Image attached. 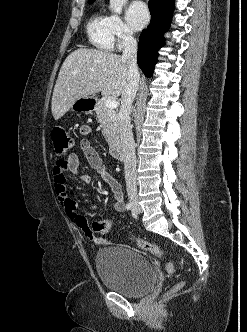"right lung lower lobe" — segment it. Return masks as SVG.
<instances>
[{
    "mask_svg": "<svg viewBox=\"0 0 247 332\" xmlns=\"http://www.w3.org/2000/svg\"><path fill=\"white\" fill-rule=\"evenodd\" d=\"M151 22L139 37L137 62L143 73L151 77L157 62V50L164 45V32L171 24L174 0H149Z\"/></svg>",
    "mask_w": 247,
    "mask_h": 332,
    "instance_id": "98d812e1",
    "label": "right lung lower lobe"
}]
</instances>
